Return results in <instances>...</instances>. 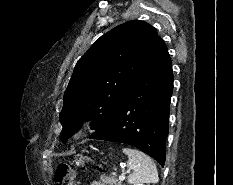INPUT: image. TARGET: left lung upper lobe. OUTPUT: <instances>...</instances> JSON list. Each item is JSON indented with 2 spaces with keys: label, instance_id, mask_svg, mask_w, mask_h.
Returning a JSON list of instances; mask_svg holds the SVG:
<instances>
[{
  "label": "left lung upper lobe",
  "instance_id": "obj_1",
  "mask_svg": "<svg viewBox=\"0 0 233 185\" xmlns=\"http://www.w3.org/2000/svg\"><path fill=\"white\" fill-rule=\"evenodd\" d=\"M167 51L150 24L132 20L101 36L77 62L63 98L60 122L65 142L91 121L98 130L116 114L135 83Z\"/></svg>",
  "mask_w": 233,
  "mask_h": 185
}]
</instances>
